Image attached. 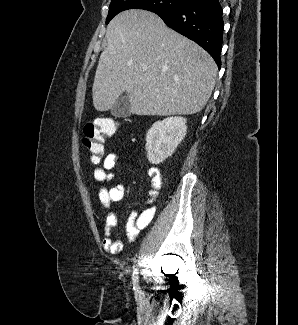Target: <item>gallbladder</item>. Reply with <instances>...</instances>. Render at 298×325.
Listing matches in <instances>:
<instances>
[{"label":"gallbladder","mask_w":298,"mask_h":325,"mask_svg":"<svg viewBox=\"0 0 298 325\" xmlns=\"http://www.w3.org/2000/svg\"><path fill=\"white\" fill-rule=\"evenodd\" d=\"M111 114H113V116H118V118L130 116L131 108L128 96H119L118 100L111 106Z\"/></svg>","instance_id":"obj_1"}]
</instances>
